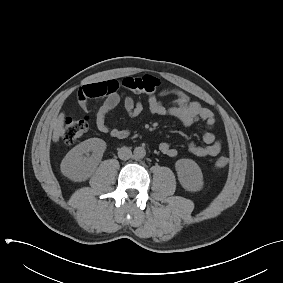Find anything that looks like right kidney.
Wrapping results in <instances>:
<instances>
[{"label": "right kidney", "mask_w": 283, "mask_h": 283, "mask_svg": "<svg viewBox=\"0 0 283 283\" xmlns=\"http://www.w3.org/2000/svg\"><path fill=\"white\" fill-rule=\"evenodd\" d=\"M105 149V141L99 138H90L81 142L62 160L60 165L62 174L75 182L87 180L101 161Z\"/></svg>", "instance_id": "ca27d5eb"}]
</instances>
